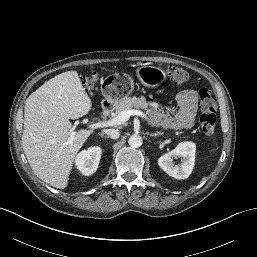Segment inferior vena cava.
<instances>
[{
	"instance_id": "602c4592",
	"label": "inferior vena cava",
	"mask_w": 257,
	"mask_h": 257,
	"mask_svg": "<svg viewBox=\"0 0 257 257\" xmlns=\"http://www.w3.org/2000/svg\"><path fill=\"white\" fill-rule=\"evenodd\" d=\"M103 134H106L108 137L112 139H117L120 136V132L117 129H104Z\"/></svg>"
}]
</instances>
